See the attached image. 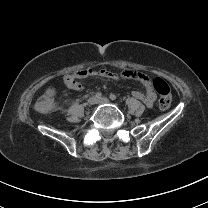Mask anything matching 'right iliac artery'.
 Segmentation results:
<instances>
[{
	"label": "right iliac artery",
	"instance_id": "1",
	"mask_svg": "<svg viewBox=\"0 0 208 208\" xmlns=\"http://www.w3.org/2000/svg\"><path fill=\"white\" fill-rule=\"evenodd\" d=\"M95 97H96L97 99H100V98L102 97V93H101V92H97V93L95 94Z\"/></svg>",
	"mask_w": 208,
	"mask_h": 208
}]
</instances>
